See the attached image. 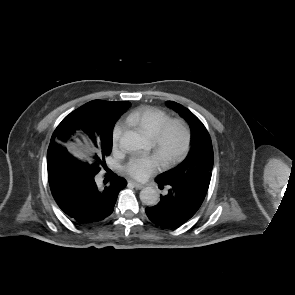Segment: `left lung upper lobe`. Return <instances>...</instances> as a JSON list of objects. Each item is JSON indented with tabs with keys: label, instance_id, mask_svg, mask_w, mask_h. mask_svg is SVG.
Wrapping results in <instances>:
<instances>
[{
	"label": "left lung upper lobe",
	"instance_id": "1",
	"mask_svg": "<svg viewBox=\"0 0 295 295\" xmlns=\"http://www.w3.org/2000/svg\"><path fill=\"white\" fill-rule=\"evenodd\" d=\"M167 105L189 123L191 147L184 161L158 175L156 179L163 183L172 181L192 188L205 186L208 190L213 169V148L210 135L203 123L187 108L173 101H168Z\"/></svg>",
	"mask_w": 295,
	"mask_h": 295
}]
</instances>
